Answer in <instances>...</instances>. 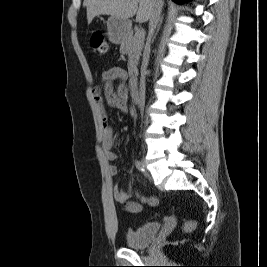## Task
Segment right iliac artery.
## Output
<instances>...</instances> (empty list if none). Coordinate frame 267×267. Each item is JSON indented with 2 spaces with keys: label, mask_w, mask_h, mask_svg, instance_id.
I'll return each instance as SVG.
<instances>
[{
  "label": "right iliac artery",
  "mask_w": 267,
  "mask_h": 267,
  "mask_svg": "<svg viewBox=\"0 0 267 267\" xmlns=\"http://www.w3.org/2000/svg\"><path fill=\"white\" fill-rule=\"evenodd\" d=\"M135 166L140 172L145 173V168H144V165L141 161L136 160Z\"/></svg>",
  "instance_id": "1"
}]
</instances>
